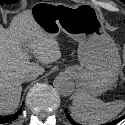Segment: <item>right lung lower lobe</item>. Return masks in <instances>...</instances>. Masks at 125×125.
<instances>
[{
  "mask_svg": "<svg viewBox=\"0 0 125 125\" xmlns=\"http://www.w3.org/2000/svg\"><path fill=\"white\" fill-rule=\"evenodd\" d=\"M21 109H19L15 114L8 115V116H0V123H7L15 120L21 113Z\"/></svg>",
  "mask_w": 125,
  "mask_h": 125,
  "instance_id": "right-lung-lower-lobe-1",
  "label": "right lung lower lobe"
}]
</instances>
